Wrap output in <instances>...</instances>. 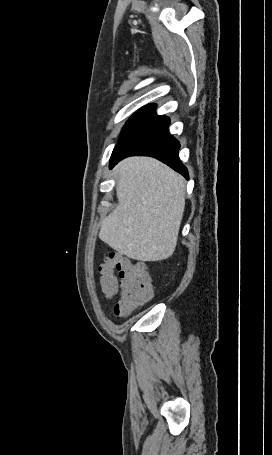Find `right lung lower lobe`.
Returning a JSON list of instances; mask_svg holds the SVG:
<instances>
[{"label": "right lung lower lobe", "instance_id": "98d812e1", "mask_svg": "<svg viewBox=\"0 0 272 455\" xmlns=\"http://www.w3.org/2000/svg\"><path fill=\"white\" fill-rule=\"evenodd\" d=\"M170 119L155 115L130 131L115 146L110 159V168L125 157L145 155L154 157L188 179V171L181 163L179 142L169 134Z\"/></svg>", "mask_w": 272, "mask_h": 455}]
</instances>
